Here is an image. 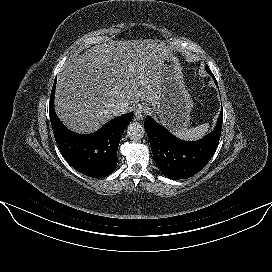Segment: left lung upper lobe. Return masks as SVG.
I'll return each mask as SVG.
<instances>
[{
  "instance_id": "obj_1",
  "label": "left lung upper lobe",
  "mask_w": 272,
  "mask_h": 272,
  "mask_svg": "<svg viewBox=\"0 0 272 272\" xmlns=\"http://www.w3.org/2000/svg\"><path fill=\"white\" fill-rule=\"evenodd\" d=\"M206 70H207L208 72H211V71L209 70V68H208V67L206 68Z\"/></svg>"
}]
</instances>
